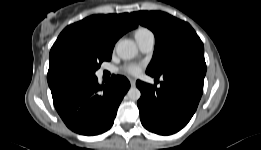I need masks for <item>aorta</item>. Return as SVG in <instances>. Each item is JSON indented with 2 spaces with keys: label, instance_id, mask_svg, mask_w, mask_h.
<instances>
[{
  "label": "aorta",
  "instance_id": "aorta-1",
  "mask_svg": "<svg viewBox=\"0 0 261 150\" xmlns=\"http://www.w3.org/2000/svg\"><path fill=\"white\" fill-rule=\"evenodd\" d=\"M116 52L120 58L129 60L136 56L138 50L133 41L124 39L117 43ZM127 96L130 100L137 101L141 97V92L137 87H131Z\"/></svg>",
  "mask_w": 261,
  "mask_h": 150
}]
</instances>
